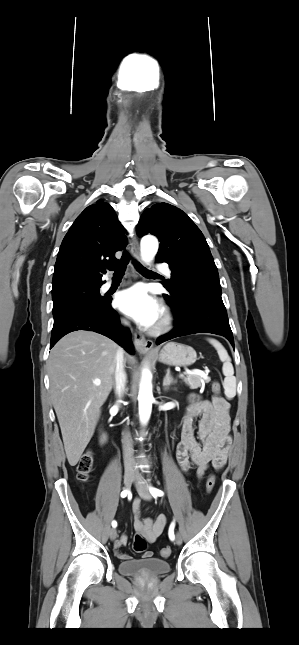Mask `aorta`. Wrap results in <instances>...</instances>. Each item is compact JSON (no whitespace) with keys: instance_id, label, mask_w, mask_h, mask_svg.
Returning <instances> with one entry per match:
<instances>
[{"instance_id":"obj_1","label":"aorta","mask_w":299,"mask_h":645,"mask_svg":"<svg viewBox=\"0 0 299 645\" xmlns=\"http://www.w3.org/2000/svg\"><path fill=\"white\" fill-rule=\"evenodd\" d=\"M158 251V241L152 236H146L141 240V257L145 262H151ZM152 375L148 369L142 372L139 388V417L142 424H146L150 418L153 403Z\"/></svg>"}]
</instances>
